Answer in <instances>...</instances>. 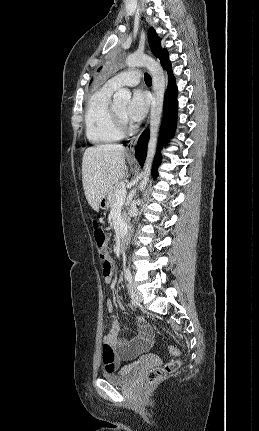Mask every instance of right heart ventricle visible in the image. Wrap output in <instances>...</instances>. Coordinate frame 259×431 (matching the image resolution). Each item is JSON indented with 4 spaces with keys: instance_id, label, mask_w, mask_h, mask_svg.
Listing matches in <instances>:
<instances>
[{
    "instance_id": "1",
    "label": "right heart ventricle",
    "mask_w": 259,
    "mask_h": 431,
    "mask_svg": "<svg viewBox=\"0 0 259 431\" xmlns=\"http://www.w3.org/2000/svg\"><path fill=\"white\" fill-rule=\"evenodd\" d=\"M115 88L104 85L89 98L85 110V134L94 145L117 141L122 134L116 129L112 115L111 96Z\"/></svg>"
}]
</instances>
